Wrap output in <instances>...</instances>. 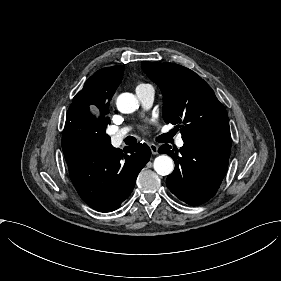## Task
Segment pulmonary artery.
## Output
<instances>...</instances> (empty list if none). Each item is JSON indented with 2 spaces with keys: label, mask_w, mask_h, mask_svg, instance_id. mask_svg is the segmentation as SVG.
Returning <instances> with one entry per match:
<instances>
[{
  "label": "pulmonary artery",
  "mask_w": 281,
  "mask_h": 281,
  "mask_svg": "<svg viewBox=\"0 0 281 281\" xmlns=\"http://www.w3.org/2000/svg\"><path fill=\"white\" fill-rule=\"evenodd\" d=\"M138 99L145 108H150L154 101V91L151 88H140L136 92ZM128 133V129L124 128L111 136L112 145L115 149H121L123 141ZM176 144L181 147L184 142L179 135L176 138Z\"/></svg>",
  "instance_id": "1"
}]
</instances>
